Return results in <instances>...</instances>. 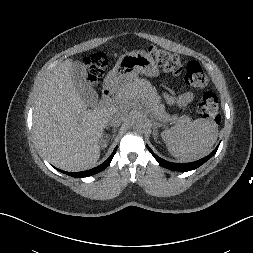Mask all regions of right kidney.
<instances>
[{"label":"right kidney","mask_w":253,"mask_h":253,"mask_svg":"<svg viewBox=\"0 0 253 253\" xmlns=\"http://www.w3.org/2000/svg\"><path fill=\"white\" fill-rule=\"evenodd\" d=\"M107 137V136H106ZM101 142H103V144H102V147H106L107 146V141L106 140H102Z\"/></svg>","instance_id":"obj_1"}]
</instances>
